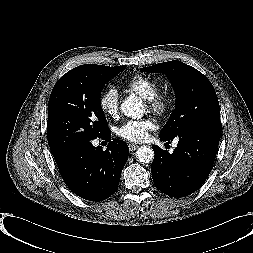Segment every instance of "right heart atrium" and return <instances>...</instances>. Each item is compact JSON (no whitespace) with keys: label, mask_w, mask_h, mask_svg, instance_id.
Masks as SVG:
<instances>
[{"label":"right heart atrium","mask_w":253,"mask_h":253,"mask_svg":"<svg viewBox=\"0 0 253 253\" xmlns=\"http://www.w3.org/2000/svg\"><path fill=\"white\" fill-rule=\"evenodd\" d=\"M100 108L102 111L111 116L116 117L120 110V99L118 91L114 88L105 90L99 98Z\"/></svg>","instance_id":"obj_1"}]
</instances>
